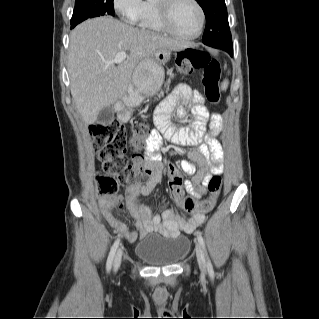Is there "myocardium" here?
I'll use <instances>...</instances> for the list:
<instances>
[{"mask_svg":"<svg viewBox=\"0 0 319 319\" xmlns=\"http://www.w3.org/2000/svg\"><path fill=\"white\" fill-rule=\"evenodd\" d=\"M156 1H157V10H158L161 24L164 30H166L170 35H172L173 37L177 39L185 40V41L194 40L200 36L205 23V13L202 6L197 0H189L191 3L194 4L199 14V25H198L197 31L193 35H189V36H184L179 34L178 32L174 30L171 24V12L174 5L177 3L178 0H156Z\"/></svg>","mask_w":319,"mask_h":319,"instance_id":"1","label":"myocardium"}]
</instances>
